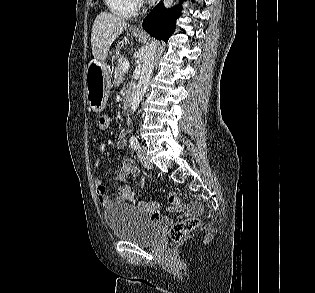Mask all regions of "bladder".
Here are the masks:
<instances>
[{"label":"bladder","instance_id":"bladder-1","mask_svg":"<svg viewBox=\"0 0 315 293\" xmlns=\"http://www.w3.org/2000/svg\"><path fill=\"white\" fill-rule=\"evenodd\" d=\"M106 223L115 239L152 245L160 236V229L146 211L131 204H116L104 212Z\"/></svg>","mask_w":315,"mask_h":293}]
</instances>
